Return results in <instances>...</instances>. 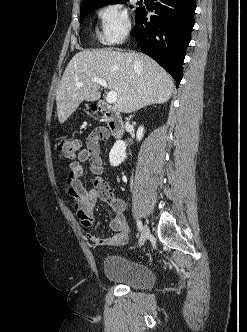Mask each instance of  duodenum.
Here are the masks:
<instances>
[{
    "mask_svg": "<svg viewBox=\"0 0 247 332\" xmlns=\"http://www.w3.org/2000/svg\"><path fill=\"white\" fill-rule=\"evenodd\" d=\"M96 108L106 120L113 138L120 139L124 133V124L119 113L104 102H98Z\"/></svg>",
    "mask_w": 247,
    "mask_h": 332,
    "instance_id": "1",
    "label": "duodenum"
}]
</instances>
